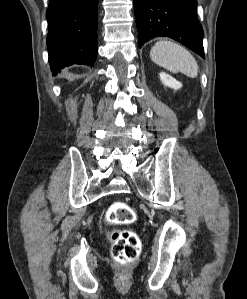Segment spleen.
Wrapping results in <instances>:
<instances>
[{"label": "spleen", "instance_id": "3e777b00", "mask_svg": "<svg viewBox=\"0 0 247 299\" xmlns=\"http://www.w3.org/2000/svg\"><path fill=\"white\" fill-rule=\"evenodd\" d=\"M151 60L173 72H181L190 78L198 75L199 67L195 58L182 46L171 41H159L150 51Z\"/></svg>", "mask_w": 247, "mask_h": 299}]
</instances>
